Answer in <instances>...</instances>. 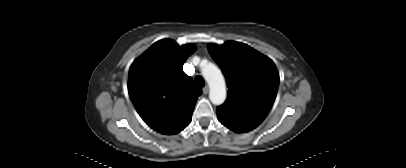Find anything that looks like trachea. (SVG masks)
I'll return each instance as SVG.
<instances>
[{"mask_svg":"<svg viewBox=\"0 0 406 168\" xmlns=\"http://www.w3.org/2000/svg\"><path fill=\"white\" fill-rule=\"evenodd\" d=\"M194 82H195L196 86H198V87H204V85H205V81L202 78V76H196L194 79Z\"/></svg>","mask_w":406,"mask_h":168,"instance_id":"3493384b","label":"trachea"}]
</instances>
